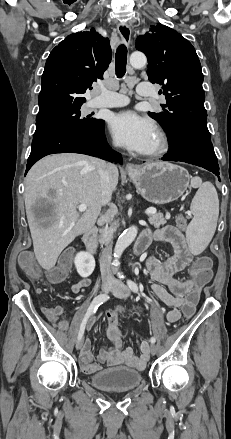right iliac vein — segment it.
Wrapping results in <instances>:
<instances>
[{"instance_id":"1","label":"right iliac vein","mask_w":231,"mask_h":439,"mask_svg":"<svg viewBox=\"0 0 231 439\" xmlns=\"http://www.w3.org/2000/svg\"><path fill=\"white\" fill-rule=\"evenodd\" d=\"M113 289H114V286H113V285H110V284H104V285H102L101 292H102L103 294H106V293H108L109 291H111V290H113ZM82 346H83V338H81V339H79V340L77 341V343H76V349H77V350H80V349L82 348Z\"/></svg>"}]
</instances>
